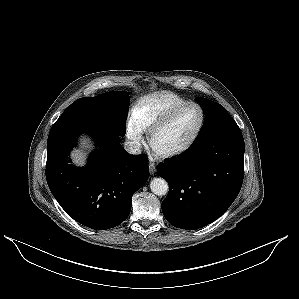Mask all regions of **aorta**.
Instances as JSON below:
<instances>
[{
    "mask_svg": "<svg viewBox=\"0 0 299 299\" xmlns=\"http://www.w3.org/2000/svg\"><path fill=\"white\" fill-rule=\"evenodd\" d=\"M151 191L158 196H163L168 192L169 186L163 178H153L150 183Z\"/></svg>",
    "mask_w": 299,
    "mask_h": 299,
    "instance_id": "aorta-1",
    "label": "aorta"
}]
</instances>
